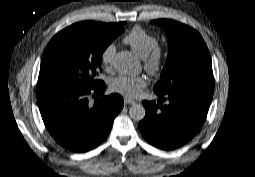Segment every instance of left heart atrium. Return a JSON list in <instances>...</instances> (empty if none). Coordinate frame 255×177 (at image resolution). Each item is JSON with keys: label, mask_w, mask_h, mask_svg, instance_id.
<instances>
[{"label": "left heart atrium", "mask_w": 255, "mask_h": 177, "mask_svg": "<svg viewBox=\"0 0 255 177\" xmlns=\"http://www.w3.org/2000/svg\"><path fill=\"white\" fill-rule=\"evenodd\" d=\"M147 84L143 76L120 75L112 79L110 88L113 92L129 98H135Z\"/></svg>", "instance_id": "obj_1"}]
</instances>
